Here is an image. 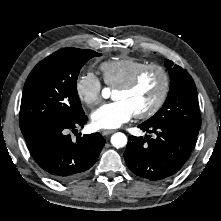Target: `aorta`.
I'll use <instances>...</instances> for the list:
<instances>
[{"label":"aorta","instance_id":"aorta-1","mask_svg":"<svg viewBox=\"0 0 221 221\" xmlns=\"http://www.w3.org/2000/svg\"><path fill=\"white\" fill-rule=\"evenodd\" d=\"M102 96L108 98L109 89L105 88L102 91ZM111 144L116 148L124 147L127 144V137L124 133L117 132L111 136Z\"/></svg>","mask_w":221,"mask_h":221}]
</instances>
